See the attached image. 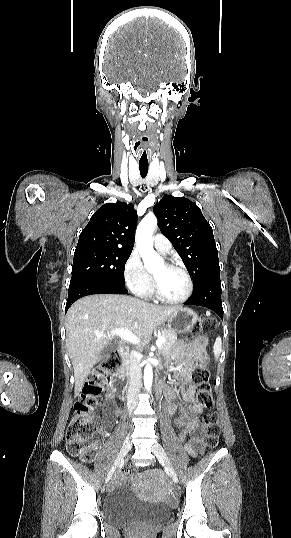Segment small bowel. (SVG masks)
<instances>
[{"label":"small bowel","mask_w":291,"mask_h":538,"mask_svg":"<svg viewBox=\"0 0 291 538\" xmlns=\"http://www.w3.org/2000/svg\"><path fill=\"white\" fill-rule=\"evenodd\" d=\"M203 339H199L196 346L183 352L177 359V377L180 387L182 402L174 401L175 392L167 387L164 398L166 401V411L170 415L179 413L176 425L180 428L179 439L184 444L187 453L196 457L204 449L205 433L199 422L197 415L202 411V407L194 402L196 388L190 381L193 369V359L200 351ZM114 382L112 381L106 388L105 401V424L113 425L114 417L121 414L122 410L116 403V396L113 392Z\"/></svg>","instance_id":"obj_1"}]
</instances>
